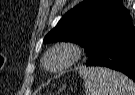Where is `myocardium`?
Returning a JSON list of instances; mask_svg holds the SVG:
<instances>
[{
	"label": "myocardium",
	"mask_w": 135,
	"mask_h": 95,
	"mask_svg": "<svg viewBox=\"0 0 135 95\" xmlns=\"http://www.w3.org/2000/svg\"><path fill=\"white\" fill-rule=\"evenodd\" d=\"M58 51L65 52L68 55V60L66 61L65 64H63L62 66L58 68H49L47 65L48 58L53 53L58 52ZM81 56H82V50L77 44L73 42H62V43L54 45L52 48L48 50V52L44 56L43 65L45 69L50 72H59V71L65 70L66 68L78 62Z\"/></svg>",
	"instance_id": "f54148a6"
}]
</instances>
